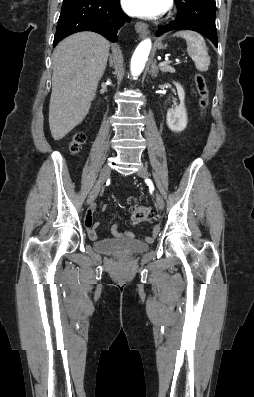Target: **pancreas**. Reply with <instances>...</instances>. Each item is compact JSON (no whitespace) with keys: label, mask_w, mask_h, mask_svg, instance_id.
<instances>
[{"label":"pancreas","mask_w":254,"mask_h":397,"mask_svg":"<svg viewBox=\"0 0 254 397\" xmlns=\"http://www.w3.org/2000/svg\"><path fill=\"white\" fill-rule=\"evenodd\" d=\"M160 69L162 72H170V73L176 72L175 69L169 65L162 66Z\"/></svg>","instance_id":"1"}]
</instances>
